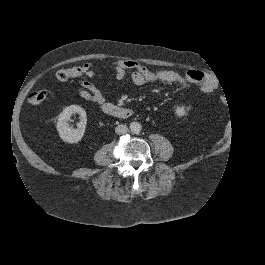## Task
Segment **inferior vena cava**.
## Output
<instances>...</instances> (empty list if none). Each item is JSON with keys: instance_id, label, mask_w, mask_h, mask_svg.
I'll use <instances>...</instances> for the list:
<instances>
[{"instance_id": "inferior-vena-cava-1", "label": "inferior vena cava", "mask_w": 265, "mask_h": 265, "mask_svg": "<svg viewBox=\"0 0 265 265\" xmlns=\"http://www.w3.org/2000/svg\"><path fill=\"white\" fill-rule=\"evenodd\" d=\"M116 134H126L128 132V128L126 125L120 124L115 127Z\"/></svg>"}]
</instances>
